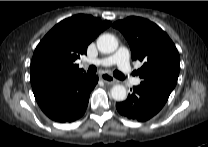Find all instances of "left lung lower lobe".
<instances>
[{
	"label": "left lung lower lobe",
	"mask_w": 208,
	"mask_h": 147,
	"mask_svg": "<svg viewBox=\"0 0 208 147\" xmlns=\"http://www.w3.org/2000/svg\"><path fill=\"white\" fill-rule=\"evenodd\" d=\"M169 95L155 87L140 84L133 87V93L125 101L116 103V108L122 116L143 122L162 109Z\"/></svg>",
	"instance_id": "left-lung-lower-lobe-1"
}]
</instances>
